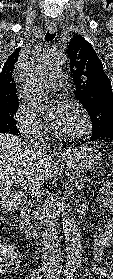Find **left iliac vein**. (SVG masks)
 <instances>
[{
    "instance_id": "1",
    "label": "left iliac vein",
    "mask_w": 113,
    "mask_h": 279,
    "mask_svg": "<svg viewBox=\"0 0 113 279\" xmlns=\"http://www.w3.org/2000/svg\"><path fill=\"white\" fill-rule=\"evenodd\" d=\"M52 278H54V279H58V278H55V277H52V276H48V279H52Z\"/></svg>"
}]
</instances>
